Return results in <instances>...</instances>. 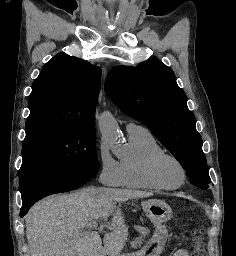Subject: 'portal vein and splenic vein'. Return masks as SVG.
<instances>
[{
	"mask_svg": "<svg viewBox=\"0 0 236 256\" xmlns=\"http://www.w3.org/2000/svg\"><path fill=\"white\" fill-rule=\"evenodd\" d=\"M86 228L87 230H90V228H98V224L97 222H93V220H91L89 224H86ZM99 230H103V226H100ZM81 234H90V232H81Z\"/></svg>",
	"mask_w": 236,
	"mask_h": 256,
	"instance_id": "18ae733b",
	"label": "portal vein and splenic vein"
}]
</instances>
